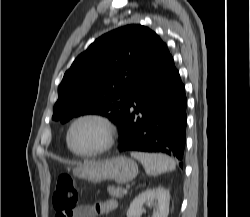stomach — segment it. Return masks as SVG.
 Masks as SVG:
<instances>
[{
	"label": "stomach",
	"mask_w": 250,
	"mask_h": 217,
	"mask_svg": "<svg viewBox=\"0 0 250 217\" xmlns=\"http://www.w3.org/2000/svg\"><path fill=\"white\" fill-rule=\"evenodd\" d=\"M74 173L93 183L113 180L118 184H124L137 176L138 166L134 160L119 156L108 160L84 162L74 169Z\"/></svg>",
	"instance_id": "obj_1"
}]
</instances>
